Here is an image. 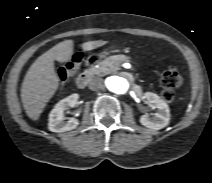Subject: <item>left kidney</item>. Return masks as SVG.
Segmentation results:
<instances>
[{
  "label": "left kidney",
  "mask_w": 212,
  "mask_h": 183,
  "mask_svg": "<svg viewBox=\"0 0 212 183\" xmlns=\"http://www.w3.org/2000/svg\"><path fill=\"white\" fill-rule=\"evenodd\" d=\"M144 98L157 109L155 116L150 117L148 114L140 117V123L150 129L160 130L166 127L170 120V109L167 103L162 100L158 95L147 92Z\"/></svg>",
  "instance_id": "obj_1"
}]
</instances>
